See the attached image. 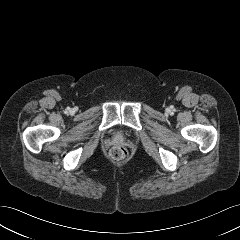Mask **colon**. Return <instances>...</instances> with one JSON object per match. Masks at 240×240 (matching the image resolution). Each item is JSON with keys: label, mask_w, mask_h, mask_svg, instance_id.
Returning <instances> with one entry per match:
<instances>
[{"label": "colon", "mask_w": 240, "mask_h": 240, "mask_svg": "<svg viewBox=\"0 0 240 240\" xmlns=\"http://www.w3.org/2000/svg\"><path fill=\"white\" fill-rule=\"evenodd\" d=\"M109 157L115 163H121L127 158V150L120 145H115L109 150Z\"/></svg>", "instance_id": "1"}]
</instances>
